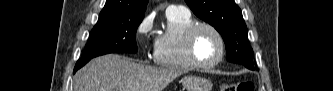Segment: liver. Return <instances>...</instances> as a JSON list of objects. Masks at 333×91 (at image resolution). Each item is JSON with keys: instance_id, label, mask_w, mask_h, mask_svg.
<instances>
[{"instance_id": "1", "label": "liver", "mask_w": 333, "mask_h": 91, "mask_svg": "<svg viewBox=\"0 0 333 91\" xmlns=\"http://www.w3.org/2000/svg\"><path fill=\"white\" fill-rule=\"evenodd\" d=\"M183 74L176 68H157L117 54L91 60L74 76V91H163Z\"/></svg>"}]
</instances>
